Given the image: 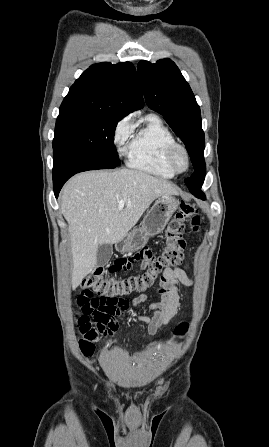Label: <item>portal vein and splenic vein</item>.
I'll use <instances>...</instances> for the list:
<instances>
[{"instance_id": "1", "label": "portal vein and splenic vein", "mask_w": 269, "mask_h": 447, "mask_svg": "<svg viewBox=\"0 0 269 447\" xmlns=\"http://www.w3.org/2000/svg\"><path fill=\"white\" fill-rule=\"evenodd\" d=\"M124 204H125L124 200H120L118 210H123Z\"/></svg>"}]
</instances>
